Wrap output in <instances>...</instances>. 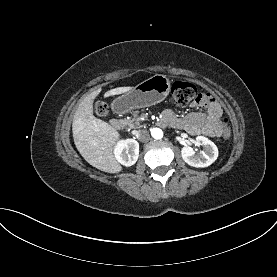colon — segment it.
<instances>
[{"label":"colon","mask_w":277,"mask_h":277,"mask_svg":"<svg viewBox=\"0 0 277 277\" xmlns=\"http://www.w3.org/2000/svg\"><path fill=\"white\" fill-rule=\"evenodd\" d=\"M171 92L176 103L182 106L199 101L202 96L196 85L186 81H175L172 84ZM94 110L97 116L102 117L107 114L108 107L104 102H97ZM222 122L225 126L223 137L224 139L229 140L232 137V131L227 128L225 119H222Z\"/></svg>","instance_id":"obj_1"}]
</instances>
